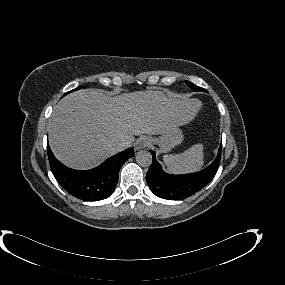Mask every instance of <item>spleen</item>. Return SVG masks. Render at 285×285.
<instances>
[{
  "instance_id": "obj_1",
  "label": "spleen",
  "mask_w": 285,
  "mask_h": 285,
  "mask_svg": "<svg viewBox=\"0 0 285 285\" xmlns=\"http://www.w3.org/2000/svg\"><path fill=\"white\" fill-rule=\"evenodd\" d=\"M204 146L196 144L181 154H169L163 157L168 172L181 174L196 172L204 164Z\"/></svg>"
}]
</instances>
